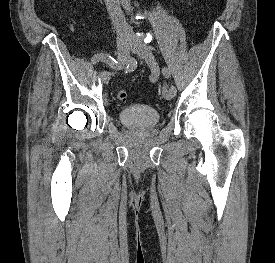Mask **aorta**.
Wrapping results in <instances>:
<instances>
[{"mask_svg": "<svg viewBox=\"0 0 275 263\" xmlns=\"http://www.w3.org/2000/svg\"><path fill=\"white\" fill-rule=\"evenodd\" d=\"M121 5L126 11L131 9V0H121Z\"/></svg>", "mask_w": 275, "mask_h": 263, "instance_id": "762f6f07", "label": "aorta"}]
</instances>
